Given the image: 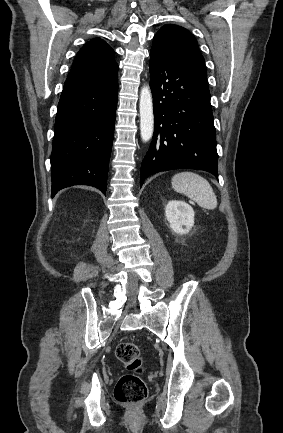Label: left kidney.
<instances>
[{"instance_id": "5707ae66", "label": "left kidney", "mask_w": 283, "mask_h": 433, "mask_svg": "<svg viewBox=\"0 0 283 433\" xmlns=\"http://www.w3.org/2000/svg\"><path fill=\"white\" fill-rule=\"evenodd\" d=\"M170 228L177 234H186L194 225V210L184 201L171 200L165 207Z\"/></svg>"}]
</instances>
